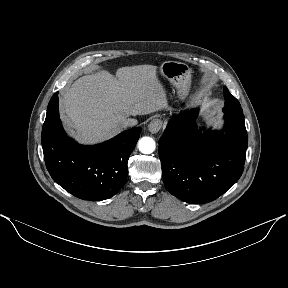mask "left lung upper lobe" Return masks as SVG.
Instances as JSON below:
<instances>
[{
  "label": "left lung upper lobe",
  "instance_id": "obj_1",
  "mask_svg": "<svg viewBox=\"0 0 288 288\" xmlns=\"http://www.w3.org/2000/svg\"><path fill=\"white\" fill-rule=\"evenodd\" d=\"M225 107L222 109L223 112L244 118L243 110L238 100L231 95L229 90L224 87Z\"/></svg>",
  "mask_w": 288,
  "mask_h": 288
}]
</instances>
